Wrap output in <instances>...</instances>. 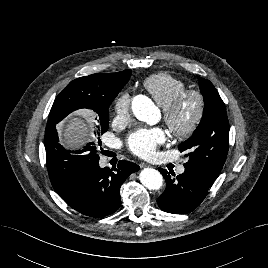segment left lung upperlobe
<instances>
[{
	"instance_id": "obj_1",
	"label": "left lung upper lobe",
	"mask_w": 268,
	"mask_h": 268,
	"mask_svg": "<svg viewBox=\"0 0 268 268\" xmlns=\"http://www.w3.org/2000/svg\"><path fill=\"white\" fill-rule=\"evenodd\" d=\"M199 85L204 97L203 117L193 135L178 149L188 153L185 167L202 171L216 180L228 153L229 123L224 102L213 84L200 79Z\"/></svg>"
}]
</instances>
